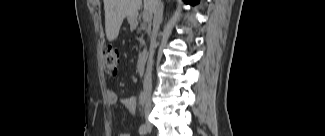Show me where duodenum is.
<instances>
[{"label": "duodenum", "mask_w": 325, "mask_h": 136, "mask_svg": "<svg viewBox=\"0 0 325 136\" xmlns=\"http://www.w3.org/2000/svg\"><path fill=\"white\" fill-rule=\"evenodd\" d=\"M147 62H148L147 55H143L137 63V72L139 74H141L145 71Z\"/></svg>", "instance_id": "410a0bca"}]
</instances>
